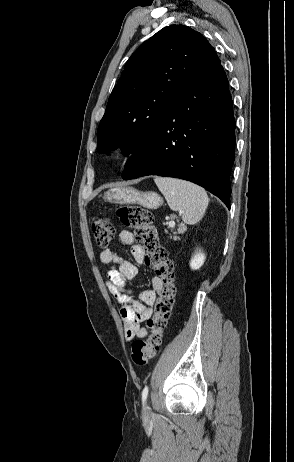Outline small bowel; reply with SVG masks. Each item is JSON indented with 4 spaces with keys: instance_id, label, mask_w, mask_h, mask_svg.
I'll list each match as a JSON object with an SVG mask.
<instances>
[{
    "instance_id": "c3829d8e",
    "label": "small bowel",
    "mask_w": 294,
    "mask_h": 462,
    "mask_svg": "<svg viewBox=\"0 0 294 462\" xmlns=\"http://www.w3.org/2000/svg\"><path fill=\"white\" fill-rule=\"evenodd\" d=\"M119 238L122 244L131 246V254L137 263L143 261L142 250L135 244V236L129 231H121ZM100 261L111 265L107 277V288L120 304V316L123 322L126 340L142 338L148 330L142 323L148 320L152 314V306L156 302L157 292L162 288L163 282L158 276L151 278L152 288L139 293L138 298L133 295L129 284L138 272L137 267L130 261L120 257L110 249L100 253Z\"/></svg>"
}]
</instances>
